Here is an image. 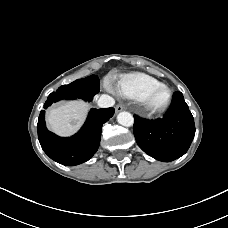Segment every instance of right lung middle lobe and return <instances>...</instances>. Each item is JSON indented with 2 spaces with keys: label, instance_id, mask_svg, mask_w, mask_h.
Instances as JSON below:
<instances>
[{
  "label": "right lung middle lobe",
  "instance_id": "right-lung-middle-lobe-1",
  "mask_svg": "<svg viewBox=\"0 0 228 228\" xmlns=\"http://www.w3.org/2000/svg\"><path fill=\"white\" fill-rule=\"evenodd\" d=\"M99 90L100 85L98 77L96 75H91L84 79H78L68 85L60 86L55 93H61L90 101Z\"/></svg>",
  "mask_w": 228,
  "mask_h": 228
}]
</instances>
